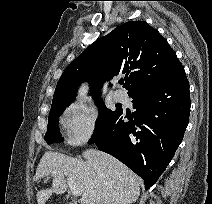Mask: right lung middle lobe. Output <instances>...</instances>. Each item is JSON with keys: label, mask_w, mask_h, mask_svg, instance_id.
<instances>
[{"label": "right lung middle lobe", "mask_w": 212, "mask_h": 204, "mask_svg": "<svg viewBox=\"0 0 212 204\" xmlns=\"http://www.w3.org/2000/svg\"><path fill=\"white\" fill-rule=\"evenodd\" d=\"M94 100L97 103L100 111V117L96 122V128L94 132L98 133L113 119V117L121 110V108H116L115 111H111L106 108L100 97H95ZM68 105L69 104L51 108L48 119V130L44 137L45 141L48 144L63 141V138H61V135L59 133V127L57 124L59 116L63 113Z\"/></svg>", "instance_id": "obj_1"}]
</instances>
